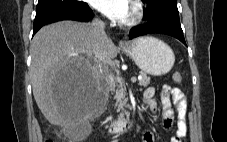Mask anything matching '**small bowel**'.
<instances>
[{"label":"small bowel","instance_id":"c3829d8e","mask_svg":"<svg viewBox=\"0 0 227 142\" xmlns=\"http://www.w3.org/2000/svg\"><path fill=\"white\" fill-rule=\"evenodd\" d=\"M155 89L149 87L143 93V100L148 108L154 113L157 110V103L154 99ZM171 97L177 110V131L171 142H182L187 134L186 124V99L178 88L164 85L160 89V99L162 104V125L165 129H171L174 123V110L172 108ZM143 142H154L153 134L145 131L142 135Z\"/></svg>","mask_w":227,"mask_h":142}]
</instances>
